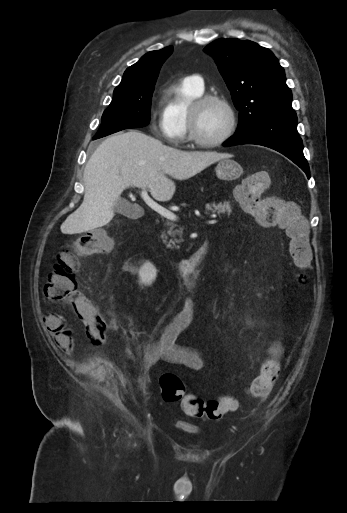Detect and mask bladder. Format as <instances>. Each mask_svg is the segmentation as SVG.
<instances>
[{"label": "bladder", "mask_w": 347, "mask_h": 513, "mask_svg": "<svg viewBox=\"0 0 347 513\" xmlns=\"http://www.w3.org/2000/svg\"><path fill=\"white\" fill-rule=\"evenodd\" d=\"M177 427L189 433H196V429L187 422L180 421L177 423Z\"/></svg>", "instance_id": "bladder-1"}]
</instances>
